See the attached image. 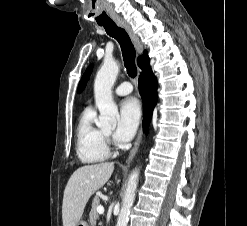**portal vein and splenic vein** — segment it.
Listing matches in <instances>:
<instances>
[{"label": "portal vein and splenic vein", "instance_id": "1", "mask_svg": "<svg viewBox=\"0 0 247 226\" xmlns=\"http://www.w3.org/2000/svg\"><path fill=\"white\" fill-rule=\"evenodd\" d=\"M97 212H98L99 214H103V213H104V207H103L102 205H99V206L97 207Z\"/></svg>", "mask_w": 247, "mask_h": 226}]
</instances>
